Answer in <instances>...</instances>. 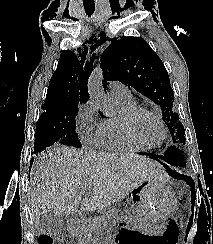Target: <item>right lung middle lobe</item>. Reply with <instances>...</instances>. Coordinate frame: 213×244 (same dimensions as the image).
Wrapping results in <instances>:
<instances>
[{"instance_id":"1","label":"right lung middle lobe","mask_w":213,"mask_h":244,"mask_svg":"<svg viewBox=\"0 0 213 244\" xmlns=\"http://www.w3.org/2000/svg\"><path fill=\"white\" fill-rule=\"evenodd\" d=\"M44 112L36 123L34 152H40L59 141L64 145L81 147L76 134L78 104H44Z\"/></svg>"}]
</instances>
